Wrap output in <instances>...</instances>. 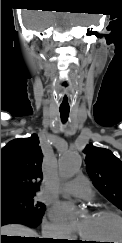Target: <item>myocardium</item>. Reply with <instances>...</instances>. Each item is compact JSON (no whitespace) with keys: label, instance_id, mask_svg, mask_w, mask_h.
<instances>
[{"label":"myocardium","instance_id":"myocardium-1","mask_svg":"<svg viewBox=\"0 0 122 243\" xmlns=\"http://www.w3.org/2000/svg\"><path fill=\"white\" fill-rule=\"evenodd\" d=\"M92 215H94V216H113L122 223V215L111 209H98V210L93 211ZM120 243H122V241H120Z\"/></svg>","mask_w":122,"mask_h":243}]
</instances>
